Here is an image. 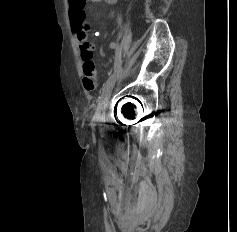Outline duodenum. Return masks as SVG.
Returning a JSON list of instances; mask_svg holds the SVG:
<instances>
[{
	"label": "duodenum",
	"instance_id": "410a0bca",
	"mask_svg": "<svg viewBox=\"0 0 237 232\" xmlns=\"http://www.w3.org/2000/svg\"><path fill=\"white\" fill-rule=\"evenodd\" d=\"M108 4H114L117 2V0H105Z\"/></svg>",
	"mask_w": 237,
	"mask_h": 232
}]
</instances>
